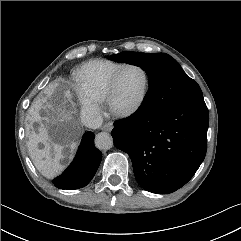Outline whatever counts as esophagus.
Returning <instances> with one entry per match:
<instances>
[{"label": "esophagus", "mask_w": 241, "mask_h": 241, "mask_svg": "<svg viewBox=\"0 0 241 241\" xmlns=\"http://www.w3.org/2000/svg\"><path fill=\"white\" fill-rule=\"evenodd\" d=\"M101 129L103 131L110 132L113 129V124L112 123H106L105 125L102 126Z\"/></svg>", "instance_id": "obj_1"}]
</instances>
